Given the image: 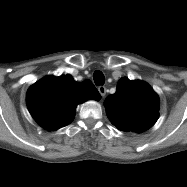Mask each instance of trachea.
<instances>
[{"label":"trachea","mask_w":187,"mask_h":187,"mask_svg":"<svg viewBox=\"0 0 187 187\" xmlns=\"http://www.w3.org/2000/svg\"><path fill=\"white\" fill-rule=\"evenodd\" d=\"M93 79L96 85H104L105 77L101 71H95L93 74Z\"/></svg>","instance_id":"1"}]
</instances>
